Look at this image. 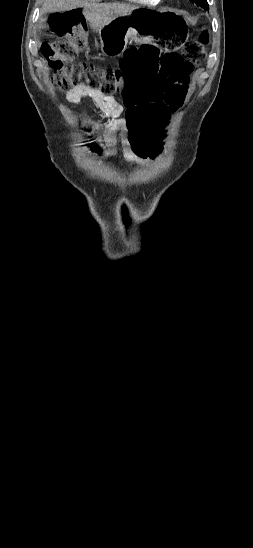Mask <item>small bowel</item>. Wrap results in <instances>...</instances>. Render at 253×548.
<instances>
[{
  "label": "small bowel",
  "mask_w": 253,
  "mask_h": 548,
  "mask_svg": "<svg viewBox=\"0 0 253 548\" xmlns=\"http://www.w3.org/2000/svg\"><path fill=\"white\" fill-rule=\"evenodd\" d=\"M152 60L163 59L157 56ZM83 97L91 98L96 106L108 116L100 139L101 146L96 145L97 152L102 151L105 157H112L116 153V134L120 132L125 146L124 157L126 160L137 164H148L153 159L147 157L145 159H138L135 156L136 150L133 148V143L129 140L131 131L130 126L127 124L128 105L123 106L113 95L104 94L83 84L76 85L66 96L67 100L73 104L79 102Z\"/></svg>",
  "instance_id": "obj_1"
}]
</instances>
